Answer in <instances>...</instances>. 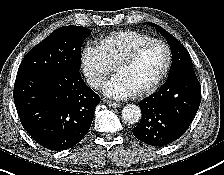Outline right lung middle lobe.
<instances>
[{
    "label": "right lung middle lobe",
    "instance_id": "right-lung-middle-lobe-1",
    "mask_svg": "<svg viewBox=\"0 0 224 175\" xmlns=\"http://www.w3.org/2000/svg\"><path fill=\"white\" fill-rule=\"evenodd\" d=\"M91 30L81 26H64L31 49L22 60L18 72L40 71L69 74L79 72L81 46Z\"/></svg>",
    "mask_w": 224,
    "mask_h": 175
}]
</instances>
